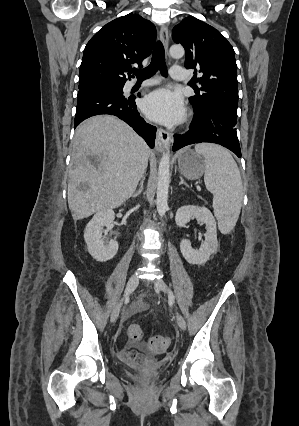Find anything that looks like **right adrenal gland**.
Listing matches in <instances>:
<instances>
[{"instance_id":"right-adrenal-gland-1","label":"right adrenal gland","mask_w":299,"mask_h":426,"mask_svg":"<svg viewBox=\"0 0 299 426\" xmlns=\"http://www.w3.org/2000/svg\"><path fill=\"white\" fill-rule=\"evenodd\" d=\"M144 180H145V176H143L142 179H141V181H140L139 189L136 192H134V194L132 195L134 198L137 197V196H139L142 193Z\"/></svg>"}]
</instances>
